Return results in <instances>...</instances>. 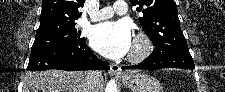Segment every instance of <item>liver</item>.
<instances>
[{"mask_svg":"<svg viewBox=\"0 0 225 92\" xmlns=\"http://www.w3.org/2000/svg\"><path fill=\"white\" fill-rule=\"evenodd\" d=\"M96 71L48 70L28 72L23 79V92H91L88 82ZM102 75L98 79L97 92L103 89Z\"/></svg>","mask_w":225,"mask_h":92,"instance_id":"liver-1","label":"liver"}]
</instances>
